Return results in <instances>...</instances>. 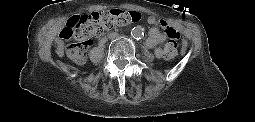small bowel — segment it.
<instances>
[{
  "label": "small bowel",
  "mask_w": 255,
  "mask_h": 122,
  "mask_svg": "<svg viewBox=\"0 0 255 122\" xmlns=\"http://www.w3.org/2000/svg\"><path fill=\"white\" fill-rule=\"evenodd\" d=\"M148 22L155 26L152 27L149 31L148 39L146 41V46L149 49H154L155 56L157 58H161L163 56V49L160 48L158 45L164 42L166 36L157 25L165 24V21L157 20L153 17H150L148 18Z\"/></svg>",
  "instance_id": "obj_1"
}]
</instances>
